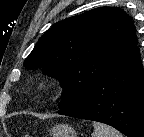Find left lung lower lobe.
<instances>
[{
  "mask_svg": "<svg viewBox=\"0 0 144 137\" xmlns=\"http://www.w3.org/2000/svg\"><path fill=\"white\" fill-rule=\"evenodd\" d=\"M136 47L82 98L58 113L108 124L128 137H144V77Z\"/></svg>",
  "mask_w": 144,
  "mask_h": 137,
  "instance_id": "1",
  "label": "left lung lower lobe"
}]
</instances>
